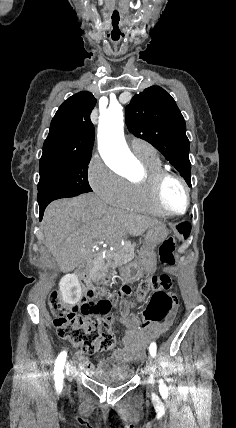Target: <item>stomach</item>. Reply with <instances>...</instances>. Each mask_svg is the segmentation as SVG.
<instances>
[{"label": "stomach", "mask_w": 236, "mask_h": 428, "mask_svg": "<svg viewBox=\"0 0 236 428\" xmlns=\"http://www.w3.org/2000/svg\"><path fill=\"white\" fill-rule=\"evenodd\" d=\"M167 236L168 230L162 222L148 228L144 236L143 246L138 252V260L126 261L125 264H121L117 274L118 282L131 286L133 283H139L144 273H151L152 269H157L158 261L154 250L158 244L166 240Z\"/></svg>", "instance_id": "stomach-1"}]
</instances>
